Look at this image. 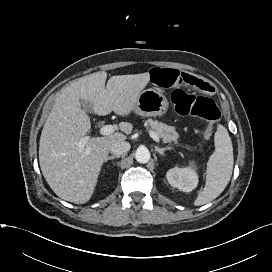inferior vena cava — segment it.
<instances>
[{
    "label": "inferior vena cava",
    "mask_w": 272,
    "mask_h": 272,
    "mask_svg": "<svg viewBox=\"0 0 272 272\" xmlns=\"http://www.w3.org/2000/svg\"><path fill=\"white\" fill-rule=\"evenodd\" d=\"M130 144L126 141L115 142L110 146L111 153L119 156L130 150Z\"/></svg>",
    "instance_id": "obj_1"
}]
</instances>
